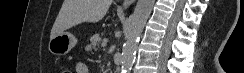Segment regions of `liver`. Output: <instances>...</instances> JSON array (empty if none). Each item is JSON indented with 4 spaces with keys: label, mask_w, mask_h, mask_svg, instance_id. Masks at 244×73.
<instances>
[{
    "label": "liver",
    "mask_w": 244,
    "mask_h": 73,
    "mask_svg": "<svg viewBox=\"0 0 244 73\" xmlns=\"http://www.w3.org/2000/svg\"><path fill=\"white\" fill-rule=\"evenodd\" d=\"M112 0H64L50 39L83 22L96 23L106 15Z\"/></svg>",
    "instance_id": "obj_1"
}]
</instances>
